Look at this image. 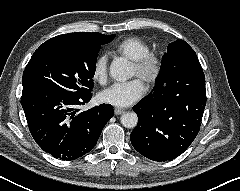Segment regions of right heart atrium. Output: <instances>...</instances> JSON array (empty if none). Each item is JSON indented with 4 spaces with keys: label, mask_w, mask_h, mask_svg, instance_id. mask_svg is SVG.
<instances>
[{
    "label": "right heart atrium",
    "mask_w": 240,
    "mask_h": 191,
    "mask_svg": "<svg viewBox=\"0 0 240 191\" xmlns=\"http://www.w3.org/2000/svg\"><path fill=\"white\" fill-rule=\"evenodd\" d=\"M108 76V58L105 54L99 55L93 67V78L100 83H104Z\"/></svg>",
    "instance_id": "right-heart-atrium-1"
}]
</instances>
